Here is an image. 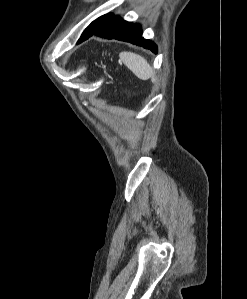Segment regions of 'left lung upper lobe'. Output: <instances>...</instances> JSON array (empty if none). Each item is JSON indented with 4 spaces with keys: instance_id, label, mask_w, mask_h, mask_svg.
<instances>
[{
    "instance_id": "5c2ea615",
    "label": "left lung upper lobe",
    "mask_w": 247,
    "mask_h": 299,
    "mask_svg": "<svg viewBox=\"0 0 247 299\" xmlns=\"http://www.w3.org/2000/svg\"><path fill=\"white\" fill-rule=\"evenodd\" d=\"M112 14H105L99 18H97L96 20H94L82 33L80 39L86 35L87 33H89L90 31L94 30L95 28H97L100 24H102L105 20H107L109 17H111ZM79 39V40H80ZM78 40V41H79Z\"/></svg>"
}]
</instances>
